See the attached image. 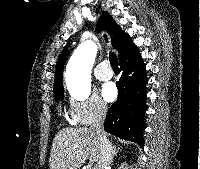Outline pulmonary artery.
I'll use <instances>...</instances> for the list:
<instances>
[{
	"mask_svg": "<svg viewBox=\"0 0 200 169\" xmlns=\"http://www.w3.org/2000/svg\"><path fill=\"white\" fill-rule=\"evenodd\" d=\"M107 66H108V63L105 61L97 65L94 72L97 79L101 81H107L113 77L112 71L108 70Z\"/></svg>",
	"mask_w": 200,
	"mask_h": 169,
	"instance_id": "pulmonary-artery-1",
	"label": "pulmonary artery"
}]
</instances>
